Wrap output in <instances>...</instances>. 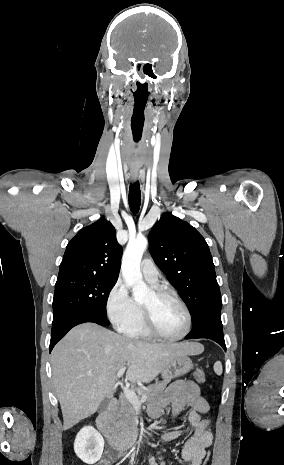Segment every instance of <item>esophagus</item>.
Listing matches in <instances>:
<instances>
[{
  "label": "esophagus",
  "mask_w": 284,
  "mask_h": 465,
  "mask_svg": "<svg viewBox=\"0 0 284 465\" xmlns=\"http://www.w3.org/2000/svg\"><path fill=\"white\" fill-rule=\"evenodd\" d=\"M130 176H131V181L136 182L137 178H138V170H136V171L131 170L130 171Z\"/></svg>",
  "instance_id": "1"
}]
</instances>
